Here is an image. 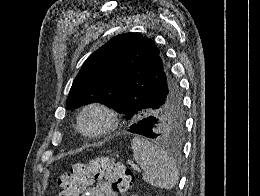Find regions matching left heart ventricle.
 Segmentation results:
<instances>
[{
  "instance_id": "1",
  "label": "left heart ventricle",
  "mask_w": 260,
  "mask_h": 196,
  "mask_svg": "<svg viewBox=\"0 0 260 196\" xmlns=\"http://www.w3.org/2000/svg\"><path fill=\"white\" fill-rule=\"evenodd\" d=\"M106 123V116L99 110L88 111L81 120V127L87 132H95Z\"/></svg>"
}]
</instances>
